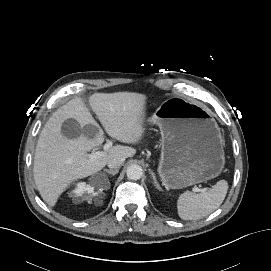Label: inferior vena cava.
Here are the masks:
<instances>
[{
  "mask_svg": "<svg viewBox=\"0 0 271 271\" xmlns=\"http://www.w3.org/2000/svg\"><path fill=\"white\" fill-rule=\"evenodd\" d=\"M124 161H125L124 157H115L110 159L107 165L110 169H117L123 164Z\"/></svg>",
  "mask_w": 271,
  "mask_h": 271,
  "instance_id": "obj_1",
  "label": "inferior vena cava"
}]
</instances>
